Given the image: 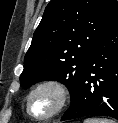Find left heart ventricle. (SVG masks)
<instances>
[{
	"label": "left heart ventricle",
	"instance_id": "left-heart-ventricle-1",
	"mask_svg": "<svg viewBox=\"0 0 118 123\" xmlns=\"http://www.w3.org/2000/svg\"><path fill=\"white\" fill-rule=\"evenodd\" d=\"M57 96L52 90H42L35 94L31 100V110L35 115L49 114L55 107Z\"/></svg>",
	"mask_w": 118,
	"mask_h": 123
}]
</instances>
